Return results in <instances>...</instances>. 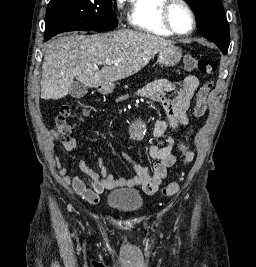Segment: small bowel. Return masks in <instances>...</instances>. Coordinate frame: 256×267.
Instances as JSON below:
<instances>
[{"mask_svg": "<svg viewBox=\"0 0 256 267\" xmlns=\"http://www.w3.org/2000/svg\"><path fill=\"white\" fill-rule=\"evenodd\" d=\"M198 86L199 80L195 75H186L180 80H155L135 93L138 97L159 102L166 114V119L160 118L156 121L154 129L157 139L166 137V145L149 147V154L156 161L152 171L134 162L126 154H123V157L134 171V176L128 179L112 174L102 158L97 159L99 171L93 170L83 160L78 159L80 170L89 177V182L86 183L81 177L70 176L67 168L57 158L60 183L91 204H97L100 195L110 189L141 187L145 193L155 194L166 177L167 170L176 163V155L173 152L175 139L171 135L167 136V133L184 127L186 129L184 138L178 143V148L182 152L187 149V140L192 134L187 111ZM126 98L127 96L121 97L119 101ZM63 147L67 153H75L78 147L77 140L75 138L64 140Z\"/></svg>", "mask_w": 256, "mask_h": 267, "instance_id": "c3829d8e", "label": "small bowel"}]
</instances>
